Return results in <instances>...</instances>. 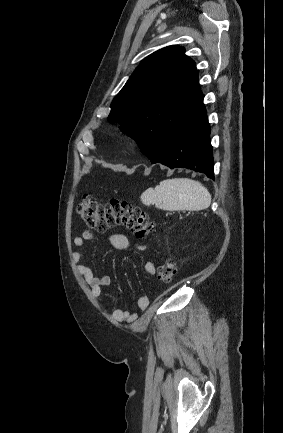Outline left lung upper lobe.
<instances>
[{
    "instance_id": "left-lung-upper-lobe-1",
    "label": "left lung upper lobe",
    "mask_w": 283,
    "mask_h": 433,
    "mask_svg": "<svg viewBox=\"0 0 283 433\" xmlns=\"http://www.w3.org/2000/svg\"><path fill=\"white\" fill-rule=\"evenodd\" d=\"M184 52L168 46L146 57L111 103L108 121L139 146L155 125L177 124L204 107L195 62Z\"/></svg>"
}]
</instances>
